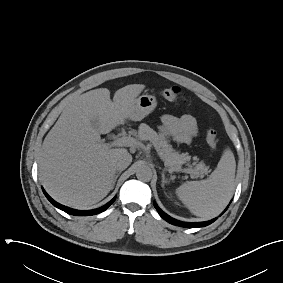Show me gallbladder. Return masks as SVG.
<instances>
[{
	"label": "gallbladder",
	"mask_w": 283,
	"mask_h": 283,
	"mask_svg": "<svg viewBox=\"0 0 283 283\" xmlns=\"http://www.w3.org/2000/svg\"><path fill=\"white\" fill-rule=\"evenodd\" d=\"M92 125L94 128H97L98 127V121L97 120H93L92 121Z\"/></svg>",
	"instance_id": "1"
}]
</instances>
